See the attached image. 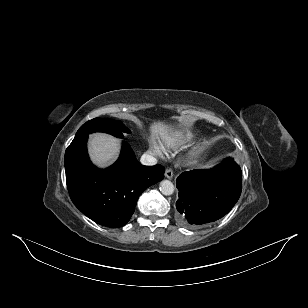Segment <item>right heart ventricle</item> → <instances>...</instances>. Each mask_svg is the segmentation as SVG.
Returning a JSON list of instances; mask_svg holds the SVG:
<instances>
[{"label": "right heart ventricle", "mask_w": 308, "mask_h": 308, "mask_svg": "<svg viewBox=\"0 0 308 308\" xmlns=\"http://www.w3.org/2000/svg\"><path fill=\"white\" fill-rule=\"evenodd\" d=\"M191 134H185L184 136L177 138V139H170L166 142V145L168 147H177L180 146L186 142H188L191 139Z\"/></svg>", "instance_id": "obj_1"}]
</instances>
